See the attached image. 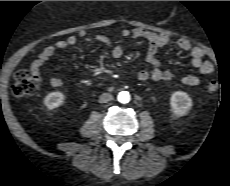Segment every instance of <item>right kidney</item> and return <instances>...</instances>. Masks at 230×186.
<instances>
[{
  "label": "right kidney",
  "mask_w": 230,
  "mask_h": 186,
  "mask_svg": "<svg viewBox=\"0 0 230 186\" xmlns=\"http://www.w3.org/2000/svg\"><path fill=\"white\" fill-rule=\"evenodd\" d=\"M63 101L64 94L62 92H51L44 98V104L49 111L59 107Z\"/></svg>",
  "instance_id": "obj_1"
}]
</instances>
